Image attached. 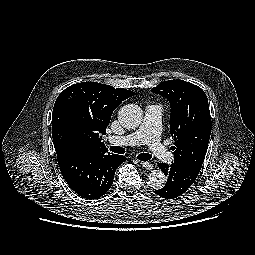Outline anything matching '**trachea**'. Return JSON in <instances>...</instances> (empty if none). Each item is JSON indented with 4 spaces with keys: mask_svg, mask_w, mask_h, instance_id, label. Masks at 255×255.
<instances>
[{
    "mask_svg": "<svg viewBox=\"0 0 255 255\" xmlns=\"http://www.w3.org/2000/svg\"><path fill=\"white\" fill-rule=\"evenodd\" d=\"M110 151L117 153V154H124L125 149L120 146H110ZM137 158L141 161H148L152 158V155L148 153H140L137 155Z\"/></svg>",
    "mask_w": 255,
    "mask_h": 255,
    "instance_id": "1",
    "label": "trachea"
}]
</instances>
